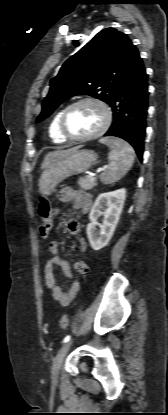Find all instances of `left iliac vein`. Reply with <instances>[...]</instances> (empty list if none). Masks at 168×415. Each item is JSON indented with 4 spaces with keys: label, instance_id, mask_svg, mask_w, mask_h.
Instances as JSON below:
<instances>
[{
    "label": "left iliac vein",
    "instance_id": "left-iliac-vein-1",
    "mask_svg": "<svg viewBox=\"0 0 168 415\" xmlns=\"http://www.w3.org/2000/svg\"><path fill=\"white\" fill-rule=\"evenodd\" d=\"M72 345V340L67 341L64 345L60 348L59 352L57 353L51 371V377L53 381H56L59 377L60 368L62 366L63 360L69 351Z\"/></svg>",
    "mask_w": 168,
    "mask_h": 415
}]
</instances>
